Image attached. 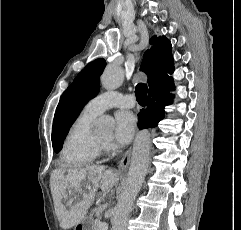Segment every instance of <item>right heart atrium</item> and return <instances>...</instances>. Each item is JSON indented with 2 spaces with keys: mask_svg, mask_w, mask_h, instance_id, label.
Segmentation results:
<instances>
[{
  "mask_svg": "<svg viewBox=\"0 0 241 230\" xmlns=\"http://www.w3.org/2000/svg\"><path fill=\"white\" fill-rule=\"evenodd\" d=\"M105 148L110 150V149H112V145L106 144V145H105Z\"/></svg>",
  "mask_w": 241,
  "mask_h": 230,
  "instance_id": "right-heart-atrium-1",
  "label": "right heart atrium"
}]
</instances>
